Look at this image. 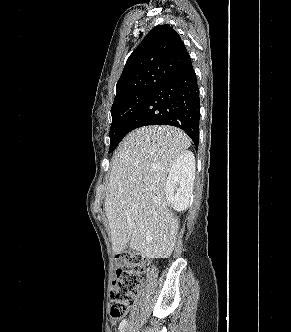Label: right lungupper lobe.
<instances>
[{
  "label": "right lung upper lobe",
  "instance_id": "1",
  "mask_svg": "<svg viewBox=\"0 0 291 332\" xmlns=\"http://www.w3.org/2000/svg\"><path fill=\"white\" fill-rule=\"evenodd\" d=\"M190 64V55L179 34L168 24L158 25L129 56L116 85L115 100L147 89Z\"/></svg>",
  "mask_w": 291,
  "mask_h": 332
}]
</instances>
